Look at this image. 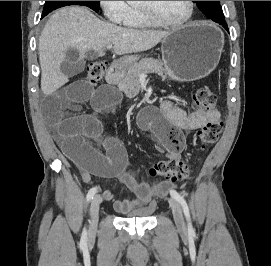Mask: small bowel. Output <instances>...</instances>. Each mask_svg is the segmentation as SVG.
I'll use <instances>...</instances> for the list:
<instances>
[{
    "label": "small bowel",
    "mask_w": 271,
    "mask_h": 266,
    "mask_svg": "<svg viewBox=\"0 0 271 266\" xmlns=\"http://www.w3.org/2000/svg\"><path fill=\"white\" fill-rule=\"evenodd\" d=\"M83 65L81 59H70L63 64L62 73L66 78L76 76L82 71ZM120 99L119 93L107 86L94 90L86 81L77 80L65 83L51 93L43 108L46 120L53 127L55 139L76 164L84 182L92 183L93 176L117 178L134 193L132 199L114 202L115 210L125 214L150 204L156 195L165 194L174 183L163 181L152 185L140 182L134 175L125 172L128 165L127 151L117 138L107 133L98 115L114 107ZM85 101L91 102L94 113L65 117V110ZM213 116L219 118V111L216 110ZM208 118L209 115L201 111L188 113L165 100L160 105V117L155 116L154 109L148 108L140 115L139 126L153 131L168 158H177L185 147L186 132L201 129ZM86 139L94 140L96 146ZM102 195L107 201L113 199V193L109 190Z\"/></svg>",
    "instance_id": "obj_1"
}]
</instances>
